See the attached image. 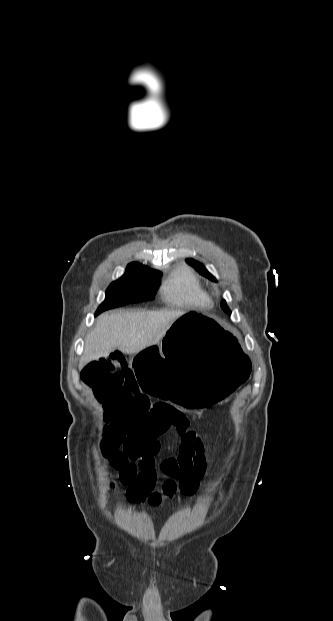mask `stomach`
Returning <instances> with one entry per match:
<instances>
[{
    "label": "stomach",
    "mask_w": 333,
    "mask_h": 621,
    "mask_svg": "<svg viewBox=\"0 0 333 621\" xmlns=\"http://www.w3.org/2000/svg\"><path fill=\"white\" fill-rule=\"evenodd\" d=\"M251 354L238 334L213 315L179 317L159 343L132 357L143 393L167 397L180 412H215L252 372Z\"/></svg>",
    "instance_id": "0dacf381"
}]
</instances>
